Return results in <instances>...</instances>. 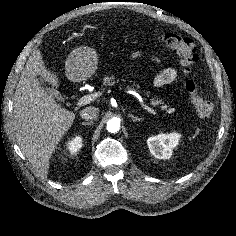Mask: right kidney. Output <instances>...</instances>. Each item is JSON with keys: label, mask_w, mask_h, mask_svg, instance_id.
Segmentation results:
<instances>
[{"label": "right kidney", "mask_w": 236, "mask_h": 236, "mask_svg": "<svg viewBox=\"0 0 236 236\" xmlns=\"http://www.w3.org/2000/svg\"><path fill=\"white\" fill-rule=\"evenodd\" d=\"M66 147L71 154H76L82 147V137L75 136L67 142Z\"/></svg>", "instance_id": "ca27d5eb"}]
</instances>
